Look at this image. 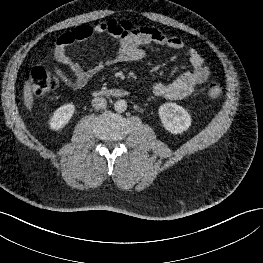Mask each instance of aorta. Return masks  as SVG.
I'll list each match as a JSON object with an SVG mask.
<instances>
[{
  "label": "aorta",
  "mask_w": 263,
  "mask_h": 263,
  "mask_svg": "<svg viewBox=\"0 0 263 263\" xmlns=\"http://www.w3.org/2000/svg\"><path fill=\"white\" fill-rule=\"evenodd\" d=\"M114 109L116 112L118 113H123L126 111L127 109V103L125 100H117L115 103H114Z\"/></svg>",
  "instance_id": "762f6f07"
}]
</instances>
